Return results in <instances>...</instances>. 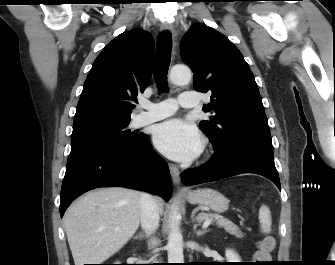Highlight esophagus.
Wrapping results in <instances>:
<instances>
[{
    "label": "esophagus",
    "instance_id": "34e87169",
    "mask_svg": "<svg viewBox=\"0 0 335 265\" xmlns=\"http://www.w3.org/2000/svg\"><path fill=\"white\" fill-rule=\"evenodd\" d=\"M160 29L162 31H168V32L172 33V35L174 36V29H173V27L170 23H168V22L161 23ZM169 169H170V173H171L173 183L175 185H179V183H180V172H179L178 167L174 164H169Z\"/></svg>",
    "mask_w": 335,
    "mask_h": 265
}]
</instances>
